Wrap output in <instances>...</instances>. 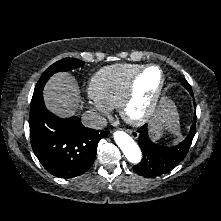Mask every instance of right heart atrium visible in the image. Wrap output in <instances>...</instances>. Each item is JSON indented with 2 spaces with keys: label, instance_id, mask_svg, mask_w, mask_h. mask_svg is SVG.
<instances>
[{
  "label": "right heart atrium",
  "instance_id": "obj_1",
  "mask_svg": "<svg viewBox=\"0 0 221 221\" xmlns=\"http://www.w3.org/2000/svg\"><path fill=\"white\" fill-rule=\"evenodd\" d=\"M87 108L99 118L106 117L110 113L109 107L94 100L88 103Z\"/></svg>",
  "mask_w": 221,
  "mask_h": 221
}]
</instances>
